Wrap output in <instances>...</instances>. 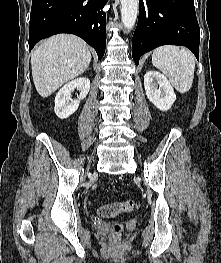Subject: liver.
I'll return each instance as SVG.
<instances>
[{"label": "liver", "mask_w": 221, "mask_h": 263, "mask_svg": "<svg viewBox=\"0 0 221 263\" xmlns=\"http://www.w3.org/2000/svg\"><path fill=\"white\" fill-rule=\"evenodd\" d=\"M91 53L79 37L59 34L46 39L31 55V69L38 94L46 98L89 66Z\"/></svg>", "instance_id": "1"}]
</instances>
